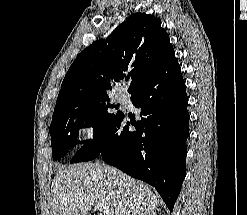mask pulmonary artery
<instances>
[{
  "mask_svg": "<svg viewBox=\"0 0 247 215\" xmlns=\"http://www.w3.org/2000/svg\"><path fill=\"white\" fill-rule=\"evenodd\" d=\"M117 100L121 101V102H125L128 98L127 94L125 92H119L116 95Z\"/></svg>",
  "mask_w": 247,
  "mask_h": 215,
  "instance_id": "obj_1",
  "label": "pulmonary artery"
}]
</instances>
